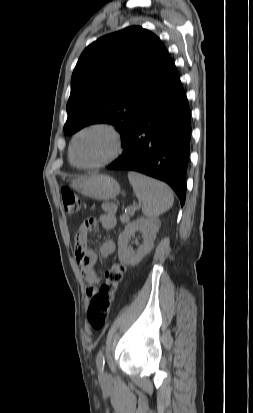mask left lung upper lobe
Returning <instances> with one entry per match:
<instances>
[{
	"label": "left lung upper lobe",
	"mask_w": 253,
	"mask_h": 413,
	"mask_svg": "<svg viewBox=\"0 0 253 413\" xmlns=\"http://www.w3.org/2000/svg\"><path fill=\"white\" fill-rule=\"evenodd\" d=\"M171 62L161 40L139 26L93 42L72 74L65 134L89 124L110 123L123 141L147 94Z\"/></svg>",
	"instance_id": "left-lung-upper-lobe-1"
}]
</instances>
